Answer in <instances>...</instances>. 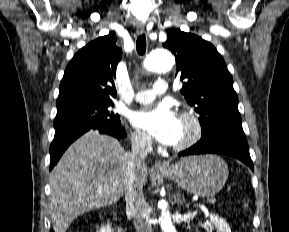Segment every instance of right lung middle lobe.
Instances as JSON below:
<instances>
[{"instance_id":"right-lung-middle-lobe-1","label":"right lung middle lobe","mask_w":289,"mask_h":232,"mask_svg":"<svg viewBox=\"0 0 289 232\" xmlns=\"http://www.w3.org/2000/svg\"><path fill=\"white\" fill-rule=\"evenodd\" d=\"M113 105L105 102H78L59 107L54 120L55 132L75 127L119 126L120 116L109 109Z\"/></svg>"}]
</instances>
